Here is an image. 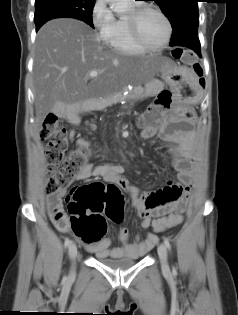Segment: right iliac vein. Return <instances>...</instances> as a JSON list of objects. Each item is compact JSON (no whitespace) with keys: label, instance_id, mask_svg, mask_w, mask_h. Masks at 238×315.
Listing matches in <instances>:
<instances>
[{"label":"right iliac vein","instance_id":"right-iliac-vein-1","mask_svg":"<svg viewBox=\"0 0 238 315\" xmlns=\"http://www.w3.org/2000/svg\"><path fill=\"white\" fill-rule=\"evenodd\" d=\"M77 256V247L75 243H71L69 246V257L72 261V269H71V274H74L75 272V259Z\"/></svg>","mask_w":238,"mask_h":315}]
</instances>
